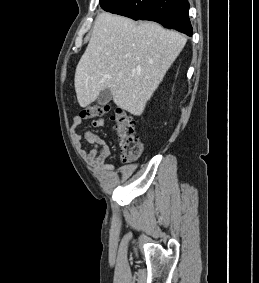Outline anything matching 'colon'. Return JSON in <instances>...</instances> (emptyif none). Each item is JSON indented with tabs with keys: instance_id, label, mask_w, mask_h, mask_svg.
<instances>
[{
	"instance_id": "1",
	"label": "colon",
	"mask_w": 259,
	"mask_h": 283,
	"mask_svg": "<svg viewBox=\"0 0 259 283\" xmlns=\"http://www.w3.org/2000/svg\"><path fill=\"white\" fill-rule=\"evenodd\" d=\"M110 108L108 105H92L80 112V117L94 119L106 115ZM122 148V159L124 163L137 160L143 150V144L136 133L135 125L131 116L123 109L116 108L113 115Z\"/></svg>"
}]
</instances>
